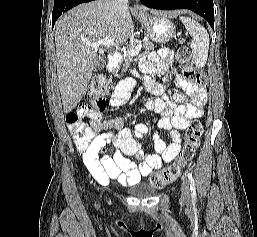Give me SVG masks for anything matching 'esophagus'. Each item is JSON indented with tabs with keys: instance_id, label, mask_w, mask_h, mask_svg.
Masks as SVG:
<instances>
[{
	"instance_id": "1",
	"label": "esophagus",
	"mask_w": 257,
	"mask_h": 237,
	"mask_svg": "<svg viewBox=\"0 0 257 237\" xmlns=\"http://www.w3.org/2000/svg\"><path fill=\"white\" fill-rule=\"evenodd\" d=\"M133 10L136 11V12H142V11H144L143 7H142L141 5H139V4H136V5L134 6Z\"/></svg>"
}]
</instances>
